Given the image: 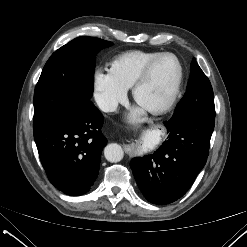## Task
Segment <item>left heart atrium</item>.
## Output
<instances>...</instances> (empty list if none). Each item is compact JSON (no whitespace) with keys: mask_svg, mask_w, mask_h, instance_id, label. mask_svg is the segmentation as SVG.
<instances>
[{"mask_svg":"<svg viewBox=\"0 0 247 247\" xmlns=\"http://www.w3.org/2000/svg\"><path fill=\"white\" fill-rule=\"evenodd\" d=\"M136 116H137L136 114L133 115L134 118H135Z\"/></svg>","mask_w":247,"mask_h":247,"instance_id":"obj_1","label":"left heart atrium"}]
</instances>
